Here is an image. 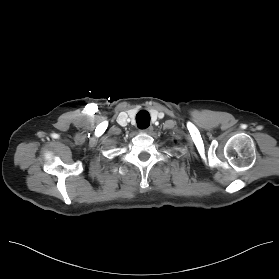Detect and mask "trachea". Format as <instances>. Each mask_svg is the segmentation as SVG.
Wrapping results in <instances>:
<instances>
[{
    "mask_svg": "<svg viewBox=\"0 0 279 279\" xmlns=\"http://www.w3.org/2000/svg\"><path fill=\"white\" fill-rule=\"evenodd\" d=\"M136 122L138 128H147L150 125V114L145 110L139 111L136 115Z\"/></svg>",
    "mask_w": 279,
    "mask_h": 279,
    "instance_id": "trachea-1",
    "label": "trachea"
}]
</instances>
